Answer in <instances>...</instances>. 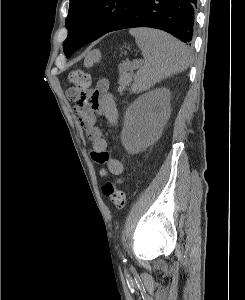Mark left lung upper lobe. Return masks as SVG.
Returning <instances> with one entry per match:
<instances>
[{
  "label": "left lung upper lobe",
  "mask_w": 245,
  "mask_h": 300,
  "mask_svg": "<svg viewBox=\"0 0 245 300\" xmlns=\"http://www.w3.org/2000/svg\"><path fill=\"white\" fill-rule=\"evenodd\" d=\"M136 0H70L66 18L68 37L63 43L69 57L92 37L104 35Z\"/></svg>",
  "instance_id": "left-lung-upper-lobe-1"
}]
</instances>
